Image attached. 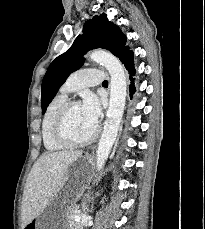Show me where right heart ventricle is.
Segmentation results:
<instances>
[{"label": "right heart ventricle", "mask_w": 205, "mask_h": 229, "mask_svg": "<svg viewBox=\"0 0 205 229\" xmlns=\"http://www.w3.org/2000/svg\"><path fill=\"white\" fill-rule=\"evenodd\" d=\"M67 101V96L60 93L56 95L48 104L42 120V140L47 151H59L64 148L53 137V124L60 107Z\"/></svg>", "instance_id": "obj_1"}]
</instances>
